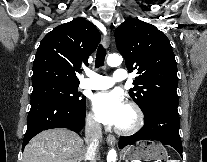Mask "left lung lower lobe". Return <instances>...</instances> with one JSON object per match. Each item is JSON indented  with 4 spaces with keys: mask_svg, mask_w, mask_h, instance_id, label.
I'll return each instance as SVG.
<instances>
[{
    "mask_svg": "<svg viewBox=\"0 0 207 162\" xmlns=\"http://www.w3.org/2000/svg\"><path fill=\"white\" fill-rule=\"evenodd\" d=\"M177 107L176 101L161 100L153 103L144 114V127L132 136L121 137L119 148L139 140H156L172 146L182 156Z\"/></svg>",
    "mask_w": 207,
    "mask_h": 162,
    "instance_id": "1",
    "label": "left lung lower lobe"
}]
</instances>
